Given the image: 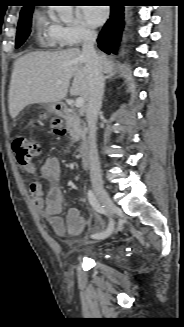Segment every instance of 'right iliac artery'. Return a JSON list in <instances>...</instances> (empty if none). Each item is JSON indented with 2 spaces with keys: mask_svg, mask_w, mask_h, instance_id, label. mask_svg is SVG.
Instances as JSON below:
<instances>
[{
  "mask_svg": "<svg viewBox=\"0 0 184 327\" xmlns=\"http://www.w3.org/2000/svg\"><path fill=\"white\" fill-rule=\"evenodd\" d=\"M87 196H88L89 203L91 204V206L94 208L95 211H97L98 213H101V214H106V210H105L104 206H102L100 204V202L97 200V198L92 190H88ZM113 228H114V222H113V220H110L107 229L101 233L93 234L92 238H95V239L106 238L112 233Z\"/></svg>",
  "mask_w": 184,
  "mask_h": 327,
  "instance_id": "obj_1",
  "label": "right iliac artery"
}]
</instances>
